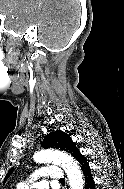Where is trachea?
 I'll return each instance as SVG.
<instances>
[{
    "label": "trachea",
    "instance_id": "3493384b",
    "mask_svg": "<svg viewBox=\"0 0 124 189\" xmlns=\"http://www.w3.org/2000/svg\"><path fill=\"white\" fill-rule=\"evenodd\" d=\"M60 182H65V180L63 178L60 179Z\"/></svg>",
    "mask_w": 124,
    "mask_h": 189
}]
</instances>
